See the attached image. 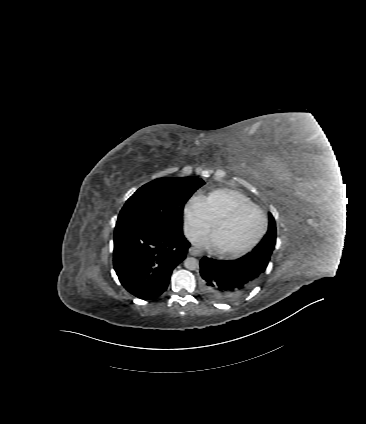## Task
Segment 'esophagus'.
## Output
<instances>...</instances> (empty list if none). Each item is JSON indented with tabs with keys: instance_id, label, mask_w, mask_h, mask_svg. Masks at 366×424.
<instances>
[{
	"instance_id": "obj_1",
	"label": "esophagus",
	"mask_w": 366,
	"mask_h": 424,
	"mask_svg": "<svg viewBox=\"0 0 366 424\" xmlns=\"http://www.w3.org/2000/svg\"><path fill=\"white\" fill-rule=\"evenodd\" d=\"M189 254L192 256H200L201 255V251L195 247H190L189 248Z\"/></svg>"
}]
</instances>
